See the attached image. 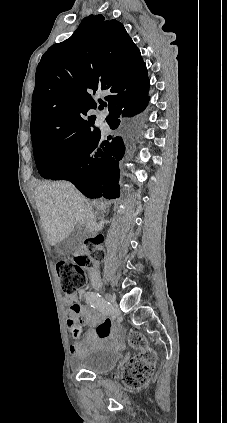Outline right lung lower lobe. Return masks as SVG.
<instances>
[{"label":"right lung lower lobe","instance_id":"98d812e1","mask_svg":"<svg viewBox=\"0 0 227 423\" xmlns=\"http://www.w3.org/2000/svg\"><path fill=\"white\" fill-rule=\"evenodd\" d=\"M147 92L142 95L128 96L126 99L109 106L107 123L116 129L123 117L140 113L147 106ZM118 118H121L118 119ZM110 140V141H108ZM125 146L120 136L105 138L98 130L94 134L91 148L82 156L76 170L64 180L71 181L78 190L89 198L119 196V161L123 158Z\"/></svg>","mask_w":227,"mask_h":423}]
</instances>
